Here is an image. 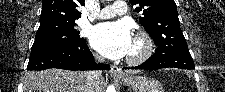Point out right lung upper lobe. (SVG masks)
I'll use <instances>...</instances> for the list:
<instances>
[{
  "label": "right lung upper lobe",
  "instance_id": "1",
  "mask_svg": "<svg viewBox=\"0 0 225 92\" xmlns=\"http://www.w3.org/2000/svg\"><path fill=\"white\" fill-rule=\"evenodd\" d=\"M84 0H43L40 24L49 22H75L81 17L77 10Z\"/></svg>",
  "mask_w": 225,
  "mask_h": 92
}]
</instances>
